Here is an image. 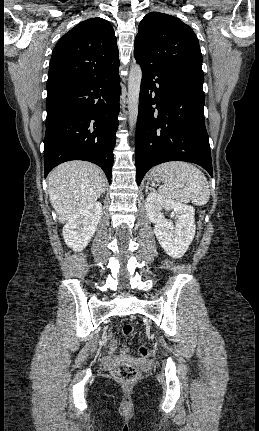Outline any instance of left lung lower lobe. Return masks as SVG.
I'll return each mask as SVG.
<instances>
[{
	"mask_svg": "<svg viewBox=\"0 0 259 431\" xmlns=\"http://www.w3.org/2000/svg\"><path fill=\"white\" fill-rule=\"evenodd\" d=\"M135 59L143 69L135 140L137 184L153 166L174 160L196 163L213 176L203 85Z\"/></svg>",
	"mask_w": 259,
	"mask_h": 431,
	"instance_id": "0a47b994",
	"label": "left lung lower lobe"
}]
</instances>
